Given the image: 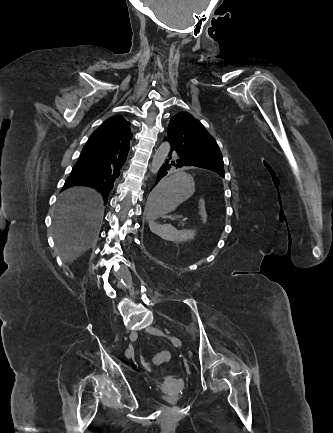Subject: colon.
Segmentation results:
<instances>
[{
	"instance_id": "1",
	"label": "colon",
	"mask_w": 333,
	"mask_h": 433,
	"mask_svg": "<svg viewBox=\"0 0 333 433\" xmlns=\"http://www.w3.org/2000/svg\"><path fill=\"white\" fill-rule=\"evenodd\" d=\"M201 217L204 218V212L201 213ZM171 359V353L169 351H161L159 353H157L154 357H153V363L157 366L166 364L170 361Z\"/></svg>"
}]
</instances>
